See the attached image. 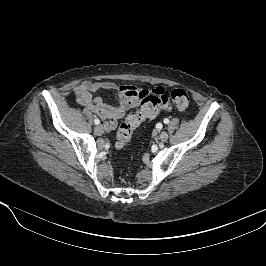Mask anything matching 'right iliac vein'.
Wrapping results in <instances>:
<instances>
[{
    "instance_id": "1",
    "label": "right iliac vein",
    "mask_w": 266,
    "mask_h": 266,
    "mask_svg": "<svg viewBox=\"0 0 266 266\" xmlns=\"http://www.w3.org/2000/svg\"><path fill=\"white\" fill-rule=\"evenodd\" d=\"M94 132L96 135H102L103 134V127L101 125L95 126Z\"/></svg>"
}]
</instances>
